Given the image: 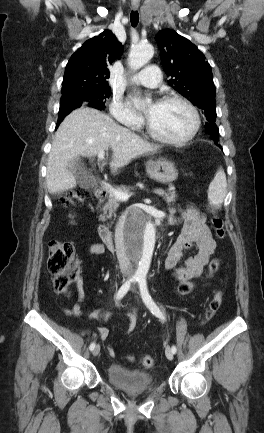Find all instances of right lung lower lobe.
Instances as JSON below:
<instances>
[{"label": "right lung lower lobe", "mask_w": 264, "mask_h": 433, "mask_svg": "<svg viewBox=\"0 0 264 433\" xmlns=\"http://www.w3.org/2000/svg\"><path fill=\"white\" fill-rule=\"evenodd\" d=\"M63 119H64V118H63ZM63 119H59V120L57 121L56 128L59 126V124L62 122Z\"/></svg>", "instance_id": "right-lung-lower-lobe-1"}]
</instances>
